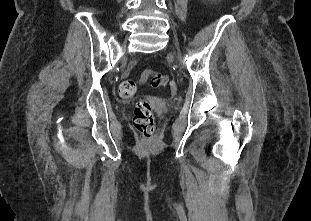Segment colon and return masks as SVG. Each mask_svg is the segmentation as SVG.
<instances>
[{
	"instance_id": "obj_1",
	"label": "colon",
	"mask_w": 311,
	"mask_h": 221,
	"mask_svg": "<svg viewBox=\"0 0 311 221\" xmlns=\"http://www.w3.org/2000/svg\"><path fill=\"white\" fill-rule=\"evenodd\" d=\"M141 80H148L153 87H166L169 77L165 74L153 71H145ZM137 90V84L133 79H125L120 85V95L122 98H131ZM134 126L137 131L144 135L145 141H154L155 121L150 103L145 98H140L135 105L133 115Z\"/></svg>"
}]
</instances>
